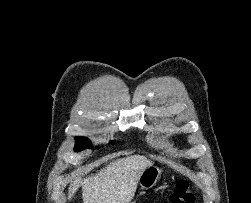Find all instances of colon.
Instances as JSON below:
<instances>
[{"label": "colon", "mask_w": 251, "mask_h": 203, "mask_svg": "<svg viewBox=\"0 0 251 203\" xmlns=\"http://www.w3.org/2000/svg\"><path fill=\"white\" fill-rule=\"evenodd\" d=\"M162 203H193V196L189 191L188 182L180 180L173 193Z\"/></svg>", "instance_id": "colon-1"}]
</instances>
